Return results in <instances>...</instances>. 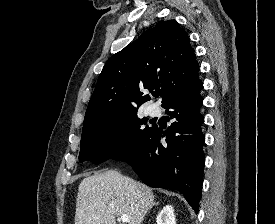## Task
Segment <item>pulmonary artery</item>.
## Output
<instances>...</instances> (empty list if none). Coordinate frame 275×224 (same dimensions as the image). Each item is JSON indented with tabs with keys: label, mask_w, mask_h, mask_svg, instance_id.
Segmentation results:
<instances>
[{
	"label": "pulmonary artery",
	"mask_w": 275,
	"mask_h": 224,
	"mask_svg": "<svg viewBox=\"0 0 275 224\" xmlns=\"http://www.w3.org/2000/svg\"><path fill=\"white\" fill-rule=\"evenodd\" d=\"M155 112H156V111H155L154 108H150L149 111H148V113H149L150 115H154Z\"/></svg>",
	"instance_id": "1"
}]
</instances>
